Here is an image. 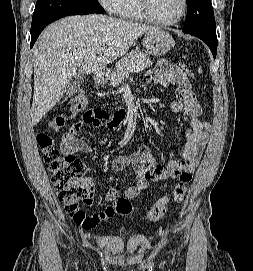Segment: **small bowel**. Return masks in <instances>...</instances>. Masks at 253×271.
Returning a JSON list of instances; mask_svg holds the SVG:
<instances>
[{"label":"small bowel","mask_w":253,"mask_h":271,"mask_svg":"<svg viewBox=\"0 0 253 271\" xmlns=\"http://www.w3.org/2000/svg\"><path fill=\"white\" fill-rule=\"evenodd\" d=\"M147 80L149 83L162 87H167L169 84L179 87L176 99L170 104V110L174 114H180L184 123L183 159L179 161L171 158L166 164H156L148 145H141L131 154L117 156L113 160V168L122 171L131 167L134 173L135 184L129 186L124 192L128 199H134L146 190L150 180L158 182L168 178H180L184 172L193 174L199 165L204 146L208 140L209 124L200 119L202 108L191 90L188 72L162 60L153 70L148 72ZM101 125L102 121L86 119L76 123L63 136L62 151L66 154L91 153L92 147L78 138V134L90 126L99 127ZM108 126L112 128V121L108 122ZM101 142L103 143L104 140ZM86 181L90 183L89 180L86 179ZM105 197L107 201H115L119 197V190L111 188L107 191ZM114 214L111 205L106 206L100 212L93 214L97 220L95 225L101 220L111 218Z\"/></svg>","instance_id":"c3829d8e"}]
</instances>
